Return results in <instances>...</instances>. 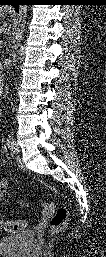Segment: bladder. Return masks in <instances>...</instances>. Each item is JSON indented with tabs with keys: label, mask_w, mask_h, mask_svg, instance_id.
I'll list each match as a JSON object with an SVG mask.
<instances>
[{
	"label": "bladder",
	"mask_w": 106,
	"mask_h": 257,
	"mask_svg": "<svg viewBox=\"0 0 106 257\" xmlns=\"http://www.w3.org/2000/svg\"><path fill=\"white\" fill-rule=\"evenodd\" d=\"M34 243V233L24 230L0 239V254L3 257H25Z\"/></svg>",
	"instance_id": "31cf9c89"
}]
</instances>
